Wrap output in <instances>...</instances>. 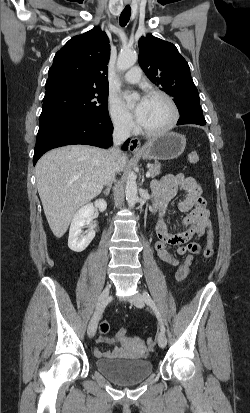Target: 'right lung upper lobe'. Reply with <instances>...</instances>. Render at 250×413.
Instances as JSON below:
<instances>
[{
	"mask_svg": "<svg viewBox=\"0 0 250 413\" xmlns=\"http://www.w3.org/2000/svg\"><path fill=\"white\" fill-rule=\"evenodd\" d=\"M109 53V39L99 27L71 38L54 57L46 92L63 85L108 89Z\"/></svg>",
	"mask_w": 250,
	"mask_h": 413,
	"instance_id": "1",
	"label": "right lung upper lobe"
}]
</instances>
